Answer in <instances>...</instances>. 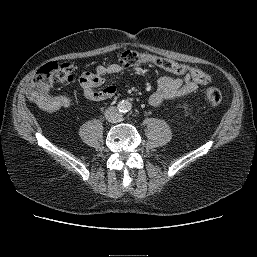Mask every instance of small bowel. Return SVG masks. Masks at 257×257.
<instances>
[{
  "label": "small bowel",
  "instance_id": "c3829d8e",
  "mask_svg": "<svg viewBox=\"0 0 257 257\" xmlns=\"http://www.w3.org/2000/svg\"><path fill=\"white\" fill-rule=\"evenodd\" d=\"M121 67L118 64L99 65L93 72H85L80 77V83L85 96L93 101L107 100L114 97L116 88L104 86L105 74H118ZM201 83L190 76H163L158 80L156 90L150 95L148 102L152 107H158L165 102L196 92Z\"/></svg>",
  "mask_w": 257,
  "mask_h": 257
}]
</instances>
